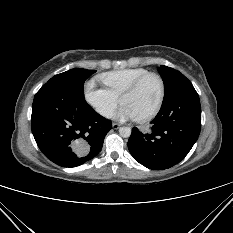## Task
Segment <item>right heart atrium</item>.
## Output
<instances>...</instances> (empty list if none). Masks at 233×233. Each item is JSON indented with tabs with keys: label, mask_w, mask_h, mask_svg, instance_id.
Here are the masks:
<instances>
[{
	"label": "right heart atrium",
	"mask_w": 233,
	"mask_h": 233,
	"mask_svg": "<svg viewBox=\"0 0 233 233\" xmlns=\"http://www.w3.org/2000/svg\"><path fill=\"white\" fill-rule=\"evenodd\" d=\"M84 97L87 103L103 117H109L118 104V97L107 88L98 87L94 80L85 84Z\"/></svg>",
	"instance_id": "d8ad5b80"
}]
</instances>
